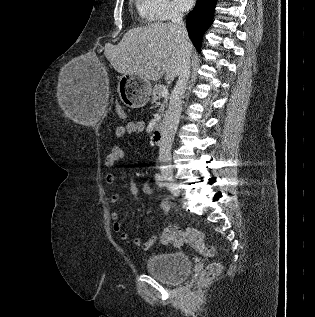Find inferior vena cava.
Listing matches in <instances>:
<instances>
[{
    "instance_id": "1",
    "label": "inferior vena cava",
    "mask_w": 315,
    "mask_h": 317,
    "mask_svg": "<svg viewBox=\"0 0 315 317\" xmlns=\"http://www.w3.org/2000/svg\"><path fill=\"white\" fill-rule=\"evenodd\" d=\"M171 18L172 23L177 27L178 36L182 41L185 52L179 78L172 92L169 108L164 118L163 136L159 146V160L162 164H167L171 160L172 143L180 120L182 97L185 93L186 85L189 80L191 66L190 50L192 45L183 22V15L178 12H173ZM163 170H170V168L165 166Z\"/></svg>"
}]
</instances>
